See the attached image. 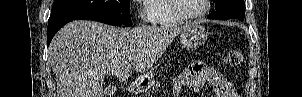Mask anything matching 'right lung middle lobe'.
Masks as SVG:
<instances>
[{"instance_id":"obj_1","label":"right lung middle lobe","mask_w":302,"mask_h":97,"mask_svg":"<svg viewBox=\"0 0 302 97\" xmlns=\"http://www.w3.org/2000/svg\"><path fill=\"white\" fill-rule=\"evenodd\" d=\"M82 12L103 14L123 25L132 26L130 0H56L49 20Z\"/></svg>"}]
</instances>
